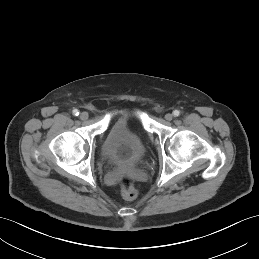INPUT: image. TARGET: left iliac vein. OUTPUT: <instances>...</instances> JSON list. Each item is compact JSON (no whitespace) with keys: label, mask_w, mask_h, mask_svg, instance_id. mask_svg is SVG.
Here are the masks:
<instances>
[{"label":"left iliac vein","mask_w":259,"mask_h":259,"mask_svg":"<svg viewBox=\"0 0 259 259\" xmlns=\"http://www.w3.org/2000/svg\"><path fill=\"white\" fill-rule=\"evenodd\" d=\"M165 119H166L167 121H171V120L173 119V114L167 113V114L165 115Z\"/></svg>","instance_id":"obj_1"}]
</instances>
